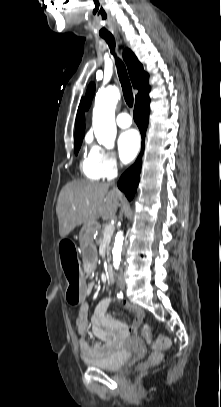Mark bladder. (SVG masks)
Instances as JSON below:
<instances>
[{"label": "bladder", "instance_id": "1", "mask_svg": "<svg viewBox=\"0 0 221 407\" xmlns=\"http://www.w3.org/2000/svg\"><path fill=\"white\" fill-rule=\"evenodd\" d=\"M131 342L134 347L130 350L116 349L101 358L87 359L85 363L102 370L116 371L131 358L133 353H143L145 351L144 343L139 338H132Z\"/></svg>", "mask_w": 221, "mask_h": 407}]
</instances>
